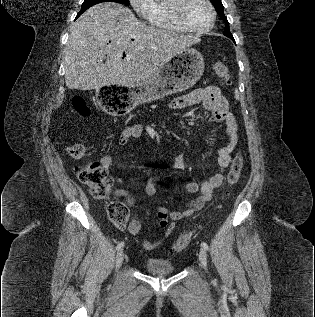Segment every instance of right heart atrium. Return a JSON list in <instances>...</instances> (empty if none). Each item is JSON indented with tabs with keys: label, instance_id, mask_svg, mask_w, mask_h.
Here are the masks:
<instances>
[{
	"label": "right heart atrium",
	"instance_id": "obj_1",
	"mask_svg": "<svg viewBox=\"0 0 315 317\" xmlns=\"http://www.w3.org/2000/svg\"><path fill=\"white\" fill-rule=\"evenodd\" d=\"M131 6L142 17H147L153 4V0H129Z\"/></svg>",
	"mask_w": 315,
	"mask_h": 317
}]
</instances>
